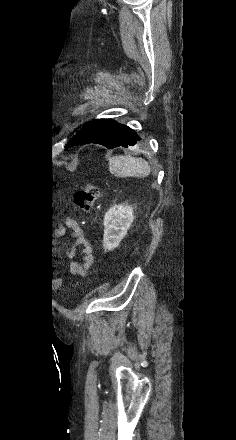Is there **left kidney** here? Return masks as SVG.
<instances>
[{"instance_id":"1","label":"left kidney","mask_w":236,"mask_h":440,"mask_svg":"<svg viewBox=\"0 0 236 440\" xmlns=\"http://www.w3.org/2000/svg\"><path fill=\"white\" fill-rule=\"evenodd\" d=\"M131 205L120 204L111 207L104 216L103 246L112 251L119 246L134 221Z\"/></svg>"}]
</instances>
